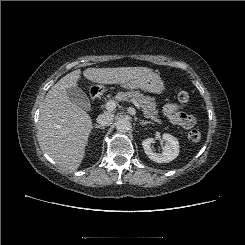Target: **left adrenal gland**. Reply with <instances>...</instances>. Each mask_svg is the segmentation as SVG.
Returning a JSON list of instances; mask_svg holds the SVG:
<instances>
[{
  "label": "left adrenal gland",
  "mask_w": 245,
  "mask_h": 245,
  "mask_svg": "<svg viewBox=\"0 0 245 245\" xmlns=\"http://www.w3.org/2000/svg\"><path fill=\"white\" fill-rule=\"evenodd\" d=\"M140 124H141L142 126H144V125H147V124H153V123L150 122V121L140 120Z\"/></svg>",
  "instance_id": "left-adrenal-gland-1"
}]
</instances>
